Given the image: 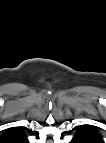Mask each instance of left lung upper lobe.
I'll return each instance as SVG.
<instances>
[{
	"label": "left lung upper lobe",
	"mask_w": 106,
	"mask_h": 143,
	"mask_svg": "<svg viewBox=\"0 0 106 143\" xmlns=\"http://www.w3.org/2000/svg\"><path fill=\"white\" fill-rule=\"evenodd\" d=\"M87 143H102V139L97 131L90 125H83L77 132Z\"/></svg>",
	"instance_id": "left-lung-upper-lobe-1"
}]
</instances>
